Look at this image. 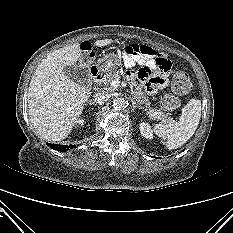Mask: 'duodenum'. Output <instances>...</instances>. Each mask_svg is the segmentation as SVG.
<instances>
[{"label": "duodenum", "instance_id": "obj_1", "mask_svg": "<svg viewBox=\"0 0 233 233\" xmlns=\"http://www.w3.org/2000/svg\"><path fill=\"white\" fill-rule=\"evenodd\" d=\"M91 76L93 77V79L96 82H99L100 80H102L104 73L101 69H99L98 67H92L91 68Z\"/></svg>", "mask_w": 233, "mask_h": 233}]
</instances>
